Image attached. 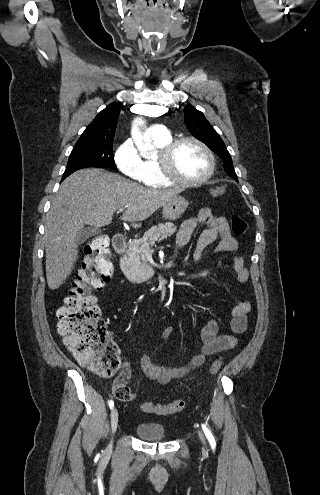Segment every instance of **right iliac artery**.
I'll return each instance as SVG.
<instances>
[{
  "label": "right iliac artery",
  "mask_w": 320,
  "mask_h": 495,
  "mask_svg": "<svg viewBox=\"0 0 320 495\" xmlns=\"http://www.w3.org/2000/svg\"><path fill=\"white\" fill-rule=\"evenodd\" d=\"M114 406V402L112 400L109 401V407L112 409Z\"/></svg>",
  "instance_id": "1"
}]
</instances>
